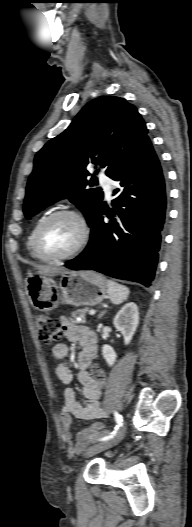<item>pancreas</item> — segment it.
I'll use <instances>...</instances> for the list:
<instances>
[{
    "label": "pancreas",
    "instance_id": "pancreas-1",
    "mask_svg": "<svg viewBox=\"0 0 192 527\" xmlns=\"http://www.w3.org/2000/svg\"><path fill=\"white\" fill-rule=\"evenodd\" d=\"M88 308L78 309L71 313V320L75 323H86V313Z\"/></svg>",
    "mask_w": 192,
    "mask_h": 527
}]
</instances>
